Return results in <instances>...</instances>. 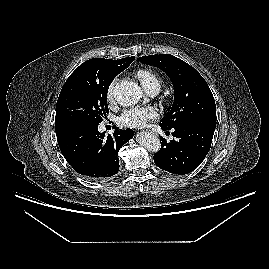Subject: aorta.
I'll return each instance as SVG.
<instances>
[{
	"label": "aorta",
	"instance_id": "1",
	"mask_svg": "<svg viewBox=\"0 0 269 269\" xmlns=\"http://www.w3.org/2000/svg\"><path fill=\"white\" fill-rule=\"evenodd\" d=\"M112 94L120 105L127 107L135 105L140 100L142 90L135 82L122 80L113 87ZM137 141L151 152H158L161 148V142L158 136L149 132L139 133Z\"/></svg>",
	"mask_w": 269,
	"mask_h": 269
}]
</instances>
